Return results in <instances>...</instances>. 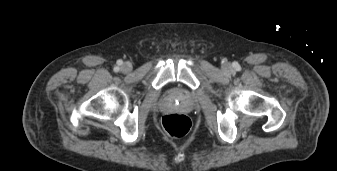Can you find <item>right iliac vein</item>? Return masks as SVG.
<instances>
[{
	"label": "right iliac vein",
	"instance_id": "obj_1",
	"mask_svg": "<svg viewBox=\"0 0 337 171\" xmlns=\"http://www.w3.org/2000/svg\"><path fill=\"white\" fill-rule=\"evenodd\" d=\"M121 70L122 72L124 73H128L132 70V66L130 63H124L122 66H121Z\"/></svg>",
	"mask_w": 337,
	"mask_h": 171
}]
</instances>
